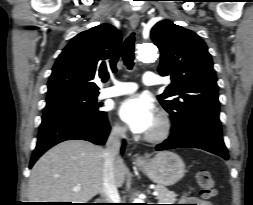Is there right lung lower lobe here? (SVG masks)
Returning a JSON list of instances; mask_svg holds the SVG:
<instances>
[{"instance_id": "1", "label": "right lung lower lobe", "mask_w": 253, "mask_h": 205, "mask_svg": "<svg viewBox=\"0 0 253 205\" xmlns=\"http://www.w3.org/2000/svg\"><path fill=\"white\" fill-rule=\"evenodd\" d=\"M109 132L106 113L94 118L73 115L43 116L30 168L45 151L62 141L81 139L102 145Z\"/></svg>"}]
</instances>
